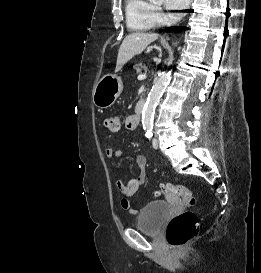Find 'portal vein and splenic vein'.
<instances>
[{
	"instance_id": "18ae733b",
	"label": "portal vein and splenic vein",
	"mask_w": 261,
	"mask_h": 273,
	"mask_svg": "<svg viewBox=\"0 0 261 273\" xmlns=\"http://www.w3.org/2000/svg\"><path fill=\"white\" fill-rule=\"evenodd\" d=\"M146 78V75L145 74H140L139 76H138V79L139 80H143V79H145Z\"/></svg>"
}]
</instances>
